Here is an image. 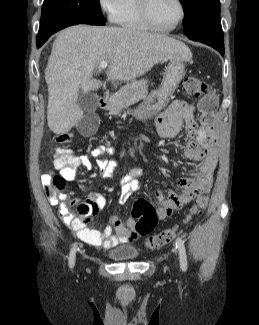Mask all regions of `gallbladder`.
Here are the masks:
<instances>
[{
    "mask_svg": "<svg viewBox=\"0 0 259 325\" xmlns=\"http://www.w3.org/2000/svg\"><path fill=\"white\" fill-rule=\"evenodd\" d=\"M98 97L94 93L80 92L77 98V105L87 114L82 116L77 129L81 136H94L100 124L99 116L95 113Z\"/></svg>",
    "mask_w": 259,
    "mask_h": 325,
    "instance_id": "1",
    "label": "gallbladder"
}]
</instances>
